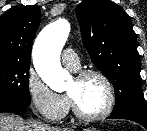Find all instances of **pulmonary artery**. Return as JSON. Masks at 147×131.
<instances>
[{"label":"pulmonary artery","mask_w":147,"mask_h":131,"mask_svg":"<svg viewBox=\"0 0 147 131\" xmlns=\"http://www.w3.org/2000/svg\"><path fill=\"white\" fill-rule=\"evenodd\" d=\"M62 61L69 69L77 71L80 68V62L74 50L66 48L62 53Z\"/></svg>","instance_id":"pulmonary-artery-1"}]
</instances>
